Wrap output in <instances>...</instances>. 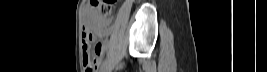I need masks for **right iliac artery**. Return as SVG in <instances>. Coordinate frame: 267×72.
<instances>
[{"mask_svg": "<svg viewBox=\"0 0 267 72\" xmlns=\"http://www.w3.org/2000/svg\"><path fill=\"white\" fill-rule=\"evenodd\" d=\"M105 63H106V61L102 62L101 65H100V68H102L105 65Z\"/></svg>", "mask_w": 267, "mask_h": 72, "instance_id": "obj_1", "label": "right iliac artery"}]
</instances>
